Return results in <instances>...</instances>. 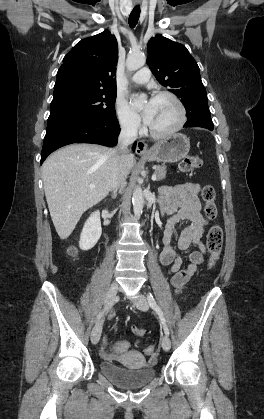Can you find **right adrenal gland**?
Listing matches in <instances>:
<instances>
[{"label":"right adrenal gland","mask_w":264,"mask_h":419,"mask_svg":"<svg viewBox=\"0 0 264 419\" xmlns=\"http://www.w3.org/2000/svg\"><path fill=\"white\" fill-rule=\"evenodd\" d=\"M116 197V193H114L113 195H112V198H115Z\"/></svg>","instance_id":"right-adrenal-gland-1"}]
</instances>
